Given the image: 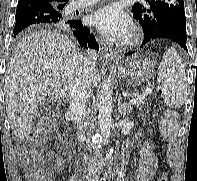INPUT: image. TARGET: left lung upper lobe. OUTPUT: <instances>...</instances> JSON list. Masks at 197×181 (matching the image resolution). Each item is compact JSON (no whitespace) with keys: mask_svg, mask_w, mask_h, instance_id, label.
Returning <instances> with one entry per match:
<instances>
[{"mask_svg":"<svg viewBox=\"0 0 197 181\" xmlns=\"http://www.w3.org/2000/svg\"><path fill=\"white\" fill-rule=\"evenodd\" d=\"M145 4L135 3L133 17L141 24L144 35L151 34L159 21L173 14H185L183 0H145Z\"/></svg>","mask_w":197,"mask_h":181,"instance_id":"left-lung-upper-lobe-1","label":"left lung upper lobe"}]
</instances>
